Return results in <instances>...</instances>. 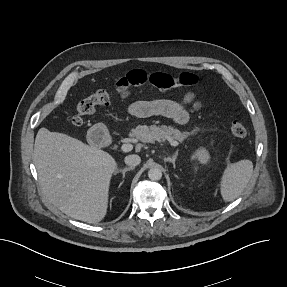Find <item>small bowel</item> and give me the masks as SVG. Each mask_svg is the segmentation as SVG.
<instances>
[{"label": "small bowel", "mask_w": 287, "mask_h": 287, "mask_svg": "<svg viewBox=\"0 0 287 287\" xmlns=\"http://www.w3.org/2000/svg\"><path fill=\"white\" fill-rule=\"evenodd\" d=\"M200 106L195 94L187 92L181 101L153 98L133 102L129 106L128 112L136 117L161 115L171 119L176 125H184L187 123L190 113L197 111Z\"/></svg>", "instance_id": "small-bowel-1"}]
</instances>
